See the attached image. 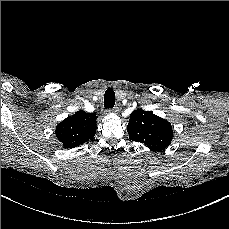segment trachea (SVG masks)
Masks as SVG:
<instances>
[{"label": "trachea", "instance_id": "3493384b", "mask_svg": "<svg viewBox=\"0 0 229 229\" xmlns=\"http://www.w3.org/2000/svg\"><path fill=\"white\" fill-rule=\"evenodd\" d=\"M115 105V92L112 88H108L104 94V107L106 109L113 108Z\"/></svg>", "mask_w": 229, "mask_h": 229}]
</instances>
